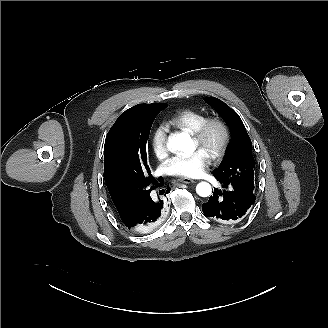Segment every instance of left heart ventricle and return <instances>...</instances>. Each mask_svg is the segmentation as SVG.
I'll return each mask as SVG.
<instances>
[{
	"instance_id": "b2bd125f",
	"label": "left heart ventricle",
	"mask_w": 328,
	"mask_h": 328,
	"mask_svg": "<svg viewBox=\"0 0 328 328\" xmlns=\"http://www.w3.org/2000/svg\"><path fill=\"white\" fill-rule=\"evenodd\" d=\"M221 140H222V131L219 127L214 126L210 129L207 136L206 143L203 148H199L193 140L191 142V148L192 150L199 148L209 156L211 153H213L218 149Z\"/></svg>"
}]
</instances>
